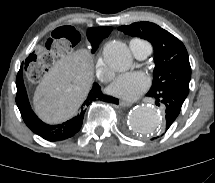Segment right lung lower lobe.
Instances as JSON below:
<instances>
[{"label":"right lung lower lobe","instance_id":"obj_1","mask_svg":"<svg viewBox=\"0 0 215 183\" xmlns=\"http://www.w3.org/2000/svg\"><path fill=\"white\" fill-rule=\"evenodd\" d=\"M16 86V103L24 122L35 134L48 141L64 140L75 135L81 129L86 108L92 102L104 101L115 104L119 103L118 99L104 95L101 91V87L97 83H94L87 99L84 101L81 109L74 118L59 125H49L42 122L30 107L23 82L22 67L17 74Z\"/></svg>","mask_w":215,"mask_h":183}]
</instances>
